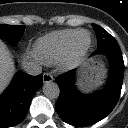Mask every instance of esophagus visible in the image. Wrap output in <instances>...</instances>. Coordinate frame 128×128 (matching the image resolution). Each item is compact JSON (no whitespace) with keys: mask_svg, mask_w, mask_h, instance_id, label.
<instances>
[{"mask_svg":"<svg viewBox=\"0 0 128 128\" xmlns=\"http://www.w3.org/2000/svg\"><path fill=\"white\" fill-rule=\"evenodd\" d=\"M53 81V76L49 73H44L43 74V82L44 83H50Z\"/></svg>","mask_w":128,"mask_h":128,"instance_id":"obj_1","label":"esophagus"}]
</instances>
